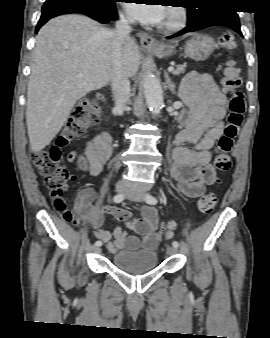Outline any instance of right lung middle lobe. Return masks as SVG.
<instances>
[{"label": "right lung middle lobe", "mask_w": 270, "mask_h": 338, "mask_svg": "<svg viewBox=\"0 0 270 338\" xmlns=\"http://www.w3.org/2000/svg\"><path fill=\"white\" fill-rule=\"evenodd\" d=\"M59 1H72V2L83 1L99 5H112L115 0H46V2H59Z\"/></svg>", "instance_id": "right-lung-middle-lobe-1"}]
</instances>
